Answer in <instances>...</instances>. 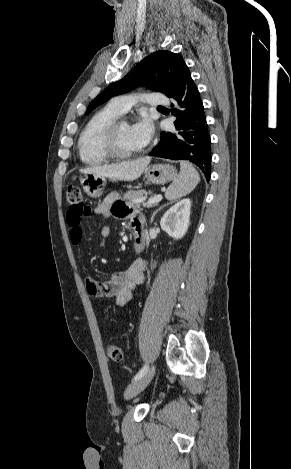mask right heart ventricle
Listing matches in <instances>:
<instances>
[{
  "mask_svg": "<svg viewBox=\"0 0 291 469\" xmlns=\"http://www.w3.org/2000/svg\"><path fill=\"white\" fill-rule=\"evenodd\" d=\"M121 114L108 104L96 111L87 121L77 142L78 154L84 164L94 166L110 160L103 146V132L106 126Z\"/></svg>",
  "mask_w": 291,
  "mask_h": 469,
  "instance_id": "1",
  "label": "right heart ventricle"
}]
</instances>
